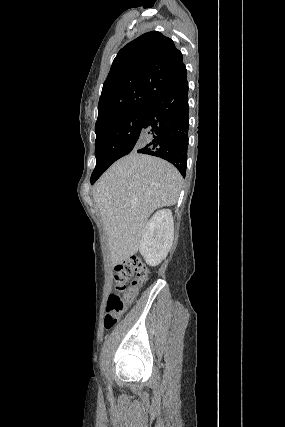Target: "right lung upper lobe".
I'll return each instance as SVG.
<instances>
[{
	"label": "right lung upper lobe",
	"instance_id": "right-lung-upper-lobe-1",
	"mask_svg": "<svg viewBox=\"0 0 285 427\" xmlns=\"http://www.w3.org/2000/svg\"><path fill=\"white\" fill-rule=\"evenodd\" d=\"M182 53L160 32L141 35L123 47L104 82L95 127L146 107L186 81Z\"/></svg>",
	"mask_w": 285,
	"mask_h": 427
}]
</instances>
